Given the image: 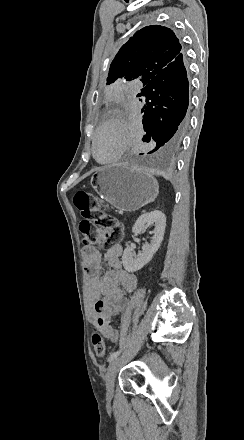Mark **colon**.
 <instances>
[{
  "mask_svg": "<svg viewBox=\"0 0 244 440\" xmlns=\"http://www.w3.org/2000/svg\"><path fill=\"white\" fill-rule=\"evenodd\" d=\"M74 204L85 219L79 224V229L87 244H94L100 249H108L114 244L117 237H122L123 234L118 232V229H124V222H118L113 214L106 212L101 202L88 191H78L74 196ZM93 309L97 314L98 327H103L105 323L103 303L101 301L95 302ZM92 347L96 357L105 356L106 342L97 328L92 334Z\"/></svg>",
  "mask_w": 244,
  "mask_h": 440,
  "instance_id": "colon-1",
  "label": "colon"
}]
</instances>
